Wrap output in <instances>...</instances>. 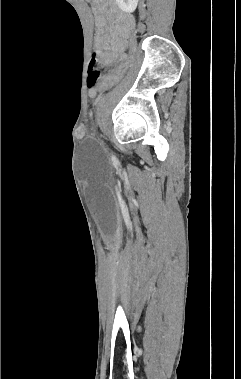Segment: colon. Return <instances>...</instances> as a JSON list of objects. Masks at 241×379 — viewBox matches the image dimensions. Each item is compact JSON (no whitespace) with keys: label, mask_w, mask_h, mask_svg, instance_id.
I'll return each mask as SVG.
<instances>
[{"label":"colon","mask_w":241,"mask_h":379,"mask_svg":"<svg viewBox=\"0 0 241 379\" xmlns=\"http://www.w3.org/2000/svg\"><path fill=\"white\" fill-rule=\"evenodd\" d=\"M132 27V26H131ZM127 38H128V45H129V54L130 56L127 57L126 61H123L122 64L119 65L118 72L115 73L114 76H112L107 82L104 83V85H100L97 89L98 97L100 99H103L106 95V92L110 91L112 83H115L116 81L118 83H123L124 78L126 77V70L127 68H130L133 63L136 62V56L138 54V42L136 33L132 32V30H127ZM103 66L101 62L98 59L97 53H94L90 65H89V75H88V85L90 87H93L97 81L100 79L102 75Z\"/></svg>","instance_id":"1"}]
</instances>
